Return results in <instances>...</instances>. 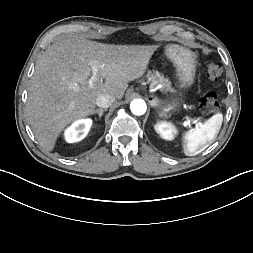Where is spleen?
<instances>
[{"label": "spleen", "mask_w": 253, "mask_h": 253, "mask_svg": "<svg viewBox=\"0 0 253 253\" xmlns=\"http://www.w3.org/2000/svg\"><path fill=\"white\" fill-rule=\"evenodd\" d=\"M223 115L217 113L204 124L190 129L183 136V152L187 156H194L205 148L219 133Z\"/></svg>", "instance_id": "obj_1"}]
</instances>
